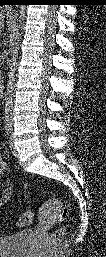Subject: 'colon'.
Instances as JSON below:
<instances>
[{
	"label": "colon",
	"instance_id": "5ec220e1",
	"mask_svg": "<svg viewBox=\"0 0 106 257\" xmlns=\"http://www.w3.org/2000/svg\"><path fill=\"white\" fill-rule=\"evenodd\" d=\"M47 210H55L57 218L62 221L65 219L67 216L69 210H70V205L67 203H64L62 205H59L56 202H50L47 204ZM33 220V214L30 211H24L20 216L17 221V225L19 227H26L32 223ZM64 229L62 227L57 228L50 236V243L51 244H56L58 243L63 235H64Z\"/></svg>",
	"mask_w": 106,
	"mask_h": 257
}]
</instances>
